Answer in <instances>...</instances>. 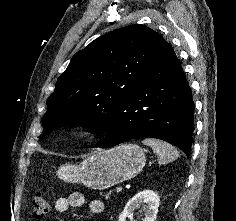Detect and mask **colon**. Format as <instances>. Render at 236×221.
<instances>
[{"mask_svg":"<svg viewBox=\"0 0 236 221\" xmlns=\"http://www.w3.org/2000/svg\"><path fill=\"white\" fill-rule=\"evenodd\" d=\"M33 214L37 218L43 217L48 210V201L44 194L37 193L32 198Z\"/></svg>","mask_w":236,"mask_h":221,"instance_id":"colon-1","label":"colon"}]
</instances>
